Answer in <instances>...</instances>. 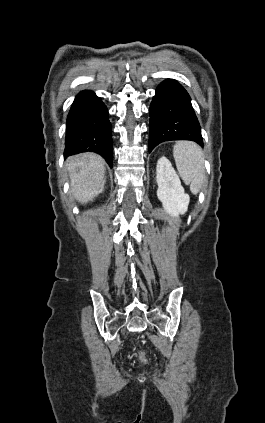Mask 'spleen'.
<instances>
[{
    "label": "spleen",
    "instance_id": "obj_1",
    "mask_svg": "<svg viewBox=\"0 0 265 423\" xmlns=\"http://www.w3.org/2000/svg\"><path fill=\"white\" fill-rule=\"evenodd\" d=\"M178 173L190 190L197 194L205 179L204 159L201 148L191 141H180L173 148Z\"/></svg>",
    "mask_w": 265,
    "mask_h": 423
}]
</instances>
